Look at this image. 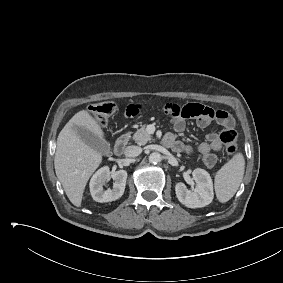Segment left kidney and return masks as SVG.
<instances>
[{
  "mask_svg": "<svg viewBox=\"0 0 283 283\" xmlns=\"http://www.w3.org/2000/svg\"><path fill=\"white\" fill-rule=\"evenodd\" d=\"M196 188L191 191L186 185L179 182L175 186L178 200L188 208H200L210 204L213 200V182L207 171L197 168L192 172Z\"/></svg>",
  "mask_w": 283,
  "mask_h": 283,
  "instance_id": "obj_1",
  "label": "left kidney"
}]
</instances>
